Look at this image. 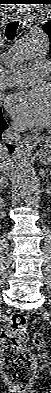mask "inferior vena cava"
I'll use <instances>...</instances> for the list:
<instances>
[{
	"mask_svg": "<svg viewBox=\"0 0 51 393\" xmlns=\"http://www.w3.org/2000/svg\"><path fill=\"white\" fill-rule=\"evenodd\" d=\"M22 131V128L15 124H12V126L2 134V142L9 144L17 143L20 139V133ZM6 152L7 149L5 144L0 143V172L1 177H4L5 179V175H7V172L9 171V163H7L8 157L6 155Z\"/></svg>",
	"mask_w": 51,
	"mask_h": 393,
	"instance_id": "inferior-vena-cava-1",
	"label": "inferior vena cava"
}]
</instances>
